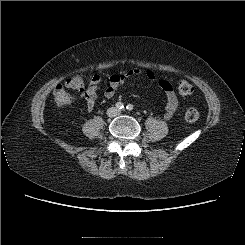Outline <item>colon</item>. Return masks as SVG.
I'll return each mask as SVG.
<instances>
[{"label":"colon","mask_w":245,"mask_h":245,"mask_svg":"<svg viewBox=\"0 0 245 245\" xmlns=\"http://www.w3.org/2000/svg\"><path fill=\"white\" fill-rule=\"evenodd\" d=\"M85 88V79L82 75L76 74L69 78L65 87L59 86L54 91V103L58 108L69 105L73 100V95L69 92H82ZM177 91L181 96H188L193 92V86L187 81L179 82ZM185 119L188 122H196L199 119V112L195 108H189L185 112Z\"/></svg>","instance_id":"1"}]
</instances>
